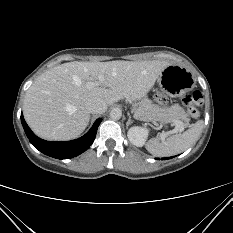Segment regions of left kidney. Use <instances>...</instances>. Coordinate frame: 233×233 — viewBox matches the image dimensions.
<instances>
[{"mask_svg": "<svg viewBox=\"0 0 233 233\" xmlns=\"http://www.w3.org/2000/svg\"><path fill=\"white\" fill-rule=\"evenodd\" d=\"M147 135L148 131L140 127H131L127 133L129 141L137 147H142L145 144Z\"/></svg>", "mask_w": 233, "mask_h": 233, "instance_id": "obj_1", "label": "left kidney"}]
</instances>
